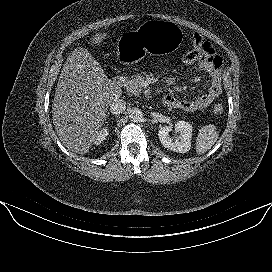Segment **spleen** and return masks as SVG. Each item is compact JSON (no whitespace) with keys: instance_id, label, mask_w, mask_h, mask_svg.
I'll return each mask as SVG.
<instances>
[{"instance_id":"1","label":"spleen","mask_w":272,"mask_h":272,"mask_svg":"<svg viewBox=\"0 0 272 272\" xmlns=\"http://www.w3.org/2000/svg\"><path fill=\"white\" fill-rule=\"evenodd\" d=\"M219 137V133L214 125L203 126L198 133L196 140V153L204 154L215 144Z\"/></svg>"}]
</instances>
